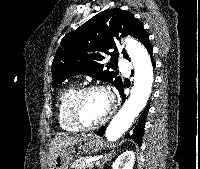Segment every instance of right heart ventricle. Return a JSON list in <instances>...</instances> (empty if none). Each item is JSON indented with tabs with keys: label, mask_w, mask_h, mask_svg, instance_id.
Wrapping results in <instances>:
<instances>
[{
	"label": "right heart ventricle",
	"mask_w": 200,
	"mask_h": 169,
	"mask_svg": "<svg viewBox=\"0 0 200 169\" xmlns=\"http://www.w3.org/2000/svg\"><path fill=\"white\" fill-rule=\"evenodd\" d=\"M79 91L75 85H69L62 89L58 97V120L60 127L67 132H78L80 129L76 126L71 115L72 100Z\"/></svg>",
	"instance_id": "obj_1"
}]
</instances>
